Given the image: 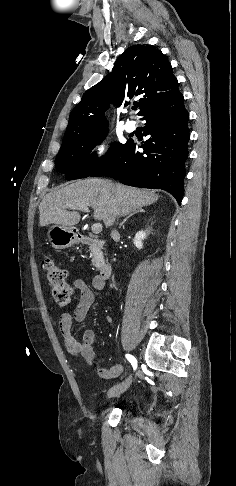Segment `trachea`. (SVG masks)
<instances>
[{"mask_svg": "<svg viewBox=\"0 0 236 486\" xmlns=\"http://www.w3.org/2000/svg\"><path fill=\"white\" fill-rule=\"evenodd\" d=\"M137 107H138V106H135V107H133V109H134V110H136V109H137Z\"/></svg>", "mask_w": 236, "mask_h": 486, "instance_id": "trachea-1", "label": "trachea"}]
</instances>
